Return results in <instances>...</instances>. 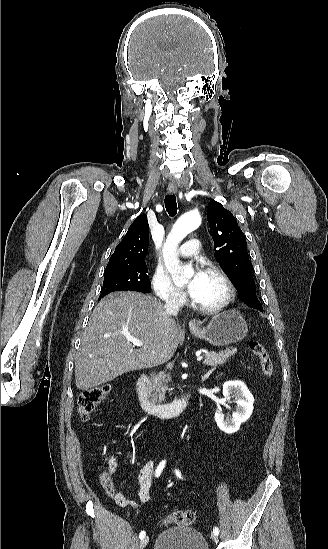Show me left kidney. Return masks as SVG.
<instances>
[{
	"label": "left kidney",
	"instance_id": "5707ae66",
	"mask_svg": "<svg viewBox=\"0 0 328 549\" xmlns=\"http://www.w3.org/2000/svg\"><path fill=\"white\" fill-rule=\"evenodd\" d=\"M225 401L236 403V411L231 417H224L220 405L215 413V421L224 433H236L239 431L241 423H245L252 415L254 397L242 381H226L222 391ZM235 397L234 401H231ZM226 405V403H225ZM228 407V405H226Z\"/></svg>",
	"mask_w": 328,
	"mask_h": 549
}]
</instances>
